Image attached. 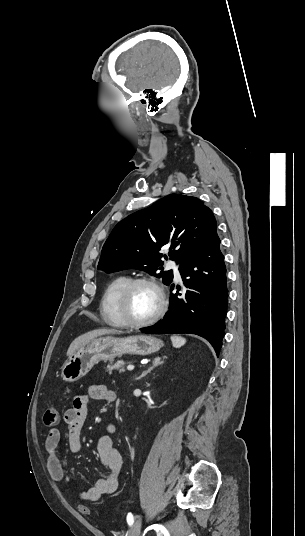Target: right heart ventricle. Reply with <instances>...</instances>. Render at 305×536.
<instances>
[{"label": "right heart ventricle", "instance_id": "1", "mask_svg": "<svg viewBox=\"0 0 305 536\" xmlns=\"http://www.w3.org/2000/svg\"><path fill=\"white\" fill-rule=\"evenodd\" d=\"M126 275H119L113 278L105 287L100 300V316L108 325L122 327L123 320L118 313L117 299L121 289L128 282Z\"/></svg>", "mask_w": 305, "mask_h": 536}]
</instances>
